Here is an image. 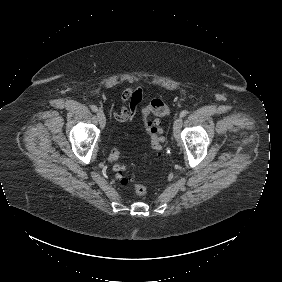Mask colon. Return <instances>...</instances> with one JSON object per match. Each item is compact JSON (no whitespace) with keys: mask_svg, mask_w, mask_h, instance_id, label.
<instances>
[{"mask_svg":"<svg viewBox=\"0 0 282 282\" xmlns=\"http://www.w3.org/2000/svg\"><path fill=\"white\" fill-rule=\"evenodd\" d=\"M153 113L157 115H164L167 112V105L164 102H157L152 106ZM146 132L149 141V147L153 152H158L163 146V137L159 131L156 123H151L146 126ZM120 152L117 148H112L109 153V160L112 164V168L116 173V177L121 184L126 185L131 183V178L124 175L125 167L119 163ZM134 191L137 196L142 197L147 193V187L142 183L134 185Z\"/></svg>","mask_w":282,"mask_h":282,"instance_id":"obj_1","label":"colon"}]
</instances>
